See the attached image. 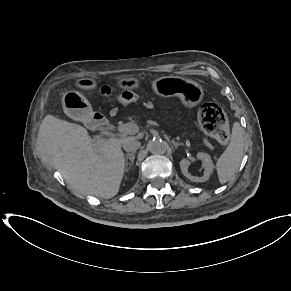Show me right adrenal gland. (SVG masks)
I'll return each instance as SVG.
<instances>
[{"label":"right adrenal gland","mask_w":291,"mask_h":291,"mask_svg":"<svg viewBox=\"0 0 291 291\" xmlns=\"http://www.w3.org/2000/svg\"><path fill=\"white\" fill-rule=\"evenodd\" d=\"M134 159H135V152L126 154V158H125L126 171L128 170L127 167L129 165L128 160H130L131 165H133L134 164Z\"/></svg>","instance_id":"1"}]
</instances>
